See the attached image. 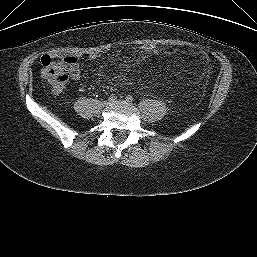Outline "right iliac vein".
<instances>
[{"mask_svg": "<svg viewBox=\"0 0 257 257\" xmlns=\"http://www.w3.org/2000/svg\"><path fill=\"white\" fill-rule=\"evenodd\" d=\"M109 104H110L109 101H103V102H102V105H103V106H108Z\"/></svg>", "mask_w": 257, "mask_h": 257, "instance_id": "1", "label": "right iliac vein"}]
</instances>
